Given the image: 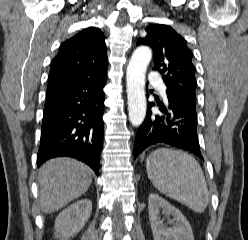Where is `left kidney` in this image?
<instances>
[{
	"label": "left kidney",
	"mask_w": 248,
	"mask_h": 240,
	"mask_svg": "<svg viewBox=\"0 0 248 240\" xmlns=\"http://www.w3.org/2000/svg\"><path fill=\"white\" fill-rule=\"evenodd\" d=\"M148 210L154 240H194L191 225L186 217L159 195H149ZM161 214L173 218L164 224Z\"/></svg>",
	"instance_id": "5707ae66"
}]
</instances>
